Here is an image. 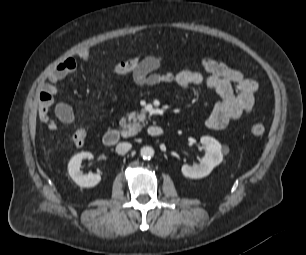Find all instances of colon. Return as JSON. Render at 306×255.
Masks as SVG:
<instances>
[{"mask_svg": "<svg viewBox=\"0 0 306 255\" xmlns=\"http://www.w3.org/2000/svg\"><path fill=\"white\" fill-rule=\"evenodd\" d=\"M140 60L141 59L138 57L121 60L115 64L113 70L119 75L130 74L138 66ZM250 132L253 136L259 137L264 134L265 127L262 124L257 123L252 125ZM87 136V130L85 128H81L73 134L72 139L76 146H82L85 143Z\"/></svg>", "mask_w": 306, "mask_h": 255, "instance_id": "1", "label": "colon"}]
</instances>
